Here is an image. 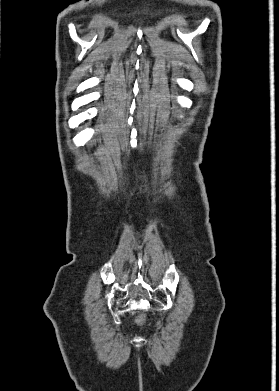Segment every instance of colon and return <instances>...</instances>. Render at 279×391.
Segmentation results:
<instances>
[{"label": "colon", "mask_w": 279, "mask_h": 391, "mask_svg": "<svg viewBox=\"0 0 279 391\" xmlns=\"http://www.w3.org/2000/svg\"><path fill=\"white\" fill-rule=\"evenodd\" d=\"M145 321V314L144 313H141L138 318H137V322L138 324H143Z\"/></svg>", "instance_id": "obj_1"}]
</instances>
